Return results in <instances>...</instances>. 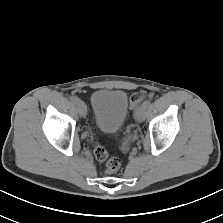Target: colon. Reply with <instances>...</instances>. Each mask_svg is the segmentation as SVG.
I'll return each mask as SVG.
<instances>
[{"mask_svg": "<svg viewBox=\"0 0 223 223\" xmlns=\"http://www.w3.org/2000/svg\"><path fill=\"white\" fill-rule=\"evenodd\" d=\"M147 96L148 94L145 91H139L132 94L130 97V107L135 109L143 100L146 99ZM128 143L129 138L126 136L124 138V150L127 148ZM94 155L98 161L106 163V171L108 173H115L119 170L121 166V160L118 157H108V153L102 145L97 144L94 147Z\"/></svg>", "mask_w": 223, "mask_h": 223, "instance_id": "5ec220e1", "label": "colon"}]
</instances>
